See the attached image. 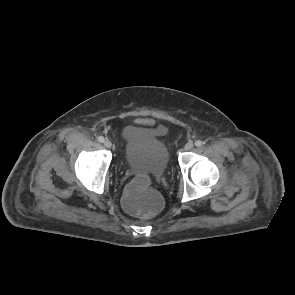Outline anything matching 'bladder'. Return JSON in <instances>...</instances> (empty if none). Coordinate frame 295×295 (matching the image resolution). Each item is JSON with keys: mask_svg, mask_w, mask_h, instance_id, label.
Wrapping results in <instances>:
<instances>
[{"mask_svg": "<svg viewBox=\"0 0 295 295\" xmlns=\"http://www.w3.org/2000/svg\"><path fill=\"white\" fill-rule=\"evenodd\" d=\"M166 134L167 128L160 122L131 123L125 126L121 136L126 161L137 167L163 170L169 161Z\"/></svg>", "mask_w": 295, "mask_h": 295, "instance_id": "31cf9c89", "label": "bladder"}]
</instances>
